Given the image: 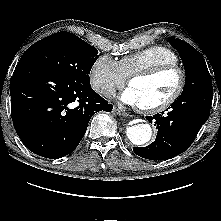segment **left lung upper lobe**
I'll list each match as a JSON object with an SVG mask.
<instances>
[{
  "mask_svg": "<svg viewBox=\"0 0 221 221\" xmlns=\"http://www.w3.org/2000/svg\"><path fill=\"white\" fill-rule=\"evenodd\" d=\"M170 44L181 56L186 72V81L180 97L191 94L201 88L212 86L211 77L201 54L187 42L170 37Z\"/></svg>",
  "mask_w": 221,
  "mask_h": 221,
  "instance_id": "5c2ea615",
  "label": "left lung upper lobe"
}]
</instances>
